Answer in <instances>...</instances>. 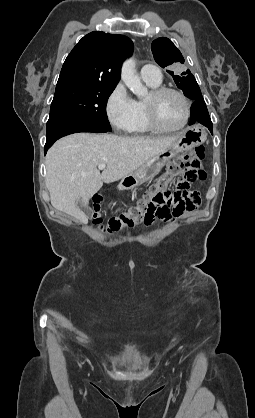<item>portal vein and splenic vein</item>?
Wrapping results in <instances>:
<instances>
[{
	"label": "portal vein and splenic vein",
	"instance_id": "18ae733b",
	"mask_svg": "<svg viewBox=\"0 0 255 418\" xmlns=\"http://www.w3.org/2000/svg\"><path fill=\"white\" fill-rule=\"evenodd\" d=\"M106 168V164H99L98 165V169L99 170H103V169H105Z\"/></svg>",
	"mask_w": 255,
	"mask_h": 418
}]
</instances>
